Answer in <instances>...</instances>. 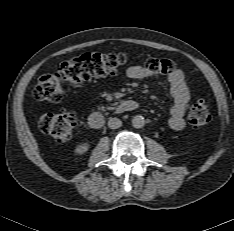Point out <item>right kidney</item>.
<instances>
[{"instance_id": "1", "label": "right kidney", "mask_w": 234, "mask_h": 231, "mask_svg": "<svg viewBox=\"0 0 234 231\" xmlns=\"http://www.w3.org/2000/svg\"><path fill=\"white\" fill-rule=\"evenodd\" d=\"M88 149H89V144H88V142H85V143H81V144L77 145L75 152L78 154H83Z\"/></svg>"}]
</instances>
